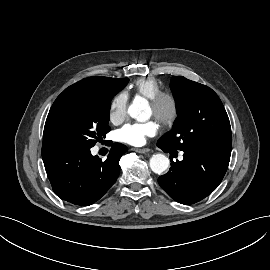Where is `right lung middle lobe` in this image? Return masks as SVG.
Instances as JSON below:
<instances>
[{"label":"right lung middle lobe","mask_w":270,"mask_h":270,"mask_svg":"<svg viewBox=\"0 0 270 270\" xmlns=\"http://www.w3.org/2000/svg\"><path fill=\"white\" fill-rule=\"evenodd\" d=\"M128 78L103 90H83L60 94L46 119L43 146L70 145L91 148L110 131L112 97L128 83Z\"/></svg>","instance_id":"obj_1"}]
</instances>
